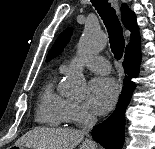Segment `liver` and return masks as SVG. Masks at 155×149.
I'll use <instances>...</instances> for the list:
<instances>
[{
  "label": "liver",
  "instance_id": "obj_1",
  "mask_svg": "<svg viewBox=\"0 0 155 149\" xmlns=\"http://www.w3.org/2000/svg\"><path fill=\"white\" fill-rule=\"evenodd\" d=\"M81 142L80 149H95L87 140L84 141L82 131L36 127L20 137L14 145L30 149H75Z\"/></svg>",
  "mask_w": 155,
  "mask_h": 149
}]
</instances>
